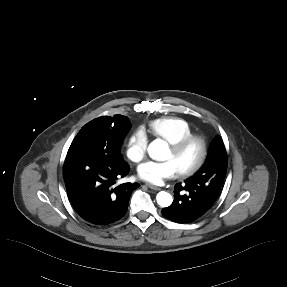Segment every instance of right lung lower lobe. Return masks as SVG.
Returning a JSON list of instances; mask_svg holds the SVG:
<instances>
[{
  "label": "right lung lower lobe",
  "mask_w": 287,
  "mask_h": 287,
  "mask_svg": "<svg viewBox=\"0 0 287 287\" xmlns=\"http://www.w3.org/2000/svg\"><path fill=\"white\" fill-rule=\"evenodd\" d=\"M122 157L110 158L95 152L67 154L64 179L67 196L77 214L94 225H107L121 219L131 193L140 185L116 180L129 173Z\"/></svg>",
  "instance_id": "98d812e1"
}]
</instances>
